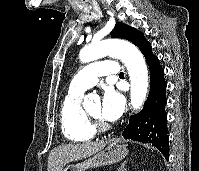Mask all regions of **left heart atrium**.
I'll use <instances>...</instances> for the list:
<instances>
[{"mask_svg":"<svg viewBox=\"0 0 199 171\" xmlns=\"http://www.w3.org/2000/svg\"><path fill=\"white\" fill-rule=\"evenodd\" d=\"M124 110V97L114 88L105 90L100 105V117L107 122L117 121Z\"/></svg>","mask_w":199,"mask_h":171,"instance_id":"obj_1","label":"left heart atrium"}]
</instances>
